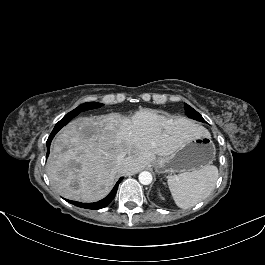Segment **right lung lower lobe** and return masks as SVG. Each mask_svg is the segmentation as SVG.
I'll return each mask as SVG.
<instances>
[{
	"mask_svg": "<svg viewBox=\"0 0 265 265\" xmlns=\"http://www.w3.org/2000/svg\"><path fill=\"white\" fill-rule=\"evenodd\" d=\"M62 127L58 126V127H54L52 133L50 134V136L48 137L47 139V156L46 158L48 157L49 155V151H50V144H51V141L52 139L54 138V136L57 134V132L61 129ZM123 177H121L118 182L116 183V185L114 186V188L112 189V191L102 200L98 201V202H94V203H81V202H76V201H72V200H67V202L75 205V206H78V207H81V208H87V209H101V208H104L106 207L112 200L113 198L115 197V194L117 192V189H118V185L119 183L122 181Z\"/></svg>",
	"mask_w": 265,
	"mask_h": 265,
	"instance_id": "1",
	"label": "right lung lower lobe"
}]
</instances>
